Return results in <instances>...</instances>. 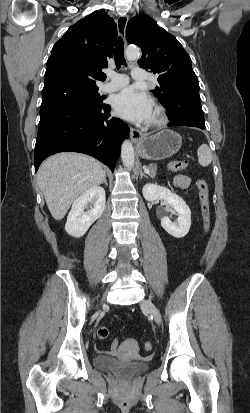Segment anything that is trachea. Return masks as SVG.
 Segmentation results:
<instances>
[{
	"instance_id": "1",
	"label": "trachea",
	"mask_w": 250,
	"mask_h": 413,
	"mask_svg": "<svg viewBox=\"0 0 250 413\" xmlns=\"http://www.w3.org/2000/svg\"><path fill=\"white\" fill-rule=\"evenodd\" d=\"M124 43L121 37L118 38L115 46V51H114V59H115V64L117 68H120L121 65H126V61L124 58Z\"/></svg>"
}]
</instances>
